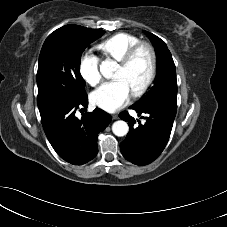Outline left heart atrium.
<instances>
[{
	"instance_id": "left-heart-atrium-1",
	"label": "left heart atrium",
	"mask_w": 227,
	"mask_h": 227,
	"mask_svg": "<svg viewBox=\"0 0 227 227\" xmlns=\"http://www.w3.org/2000/svg\"><path fill=\"white\" fill-rule=\"evenodd\" d=\"M131 92L127 85L119 79L104 83L91 94V101L107 112H115L124 107Z\"/></svg>"
}]
</instances>
